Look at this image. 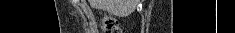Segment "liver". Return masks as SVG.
Returning <instances> with one entry per match:
<instances>
[{
	"label": "liver",
	"mask_w": 235,
	"mask_h": 33,
	"mask_svg": "<svg viewBox=\"0 0 235 33\" xmlns=\"http://www.w3.org/2000/svg\"><path fill=\"white\" fill-rule=\"evenodd\" d=\"M93 8L107 11L116 16L131 14L138 4V0H89Z\"/></svg>",
	"instance_id": "1"
}]
</instances>
